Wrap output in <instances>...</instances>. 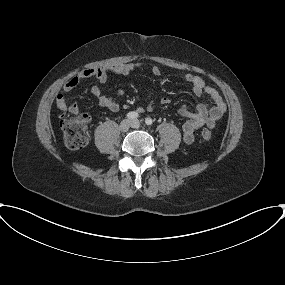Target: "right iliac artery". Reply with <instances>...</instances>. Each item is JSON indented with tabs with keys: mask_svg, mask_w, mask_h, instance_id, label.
Returning <instances> with one entry per match:
<instances>
[{
	"mask_svg": "<svg viewBox=\"0 0 285 285\" xmlns=\"http://www.w3.org/2000/svg\"><path fill=\"white\" fill-rule=\"evenodd\" d=\"M138 117V113L137 112H129L127 114V118L129 119H136Z\"/></svg>",
	"mask_w": 285,
	"mask_h": 285,
	"instance_id": "obj_1",
	"label": "right iliac artery"
}]
</instances>
